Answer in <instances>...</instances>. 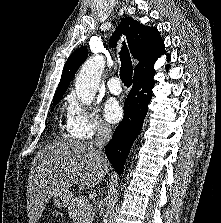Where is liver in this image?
Here are the masks:
<instances>
[{"mask_svg":"<svg viewBox=\"0 0 221 223\" xmlns=\"http://www.w3.org/2000/svg\"><path fill=\"white\" fill-rule=\"evenodd\" d=\"M109 170L106 157L90 142L56 140L47 144L34 157L29 173V223H38L47 201L55 194L75 184L81 190L92 188Z\"/></svg>","mask_w":221,"mask_h":223,"instance_id":"6515ba94","label":"liver"}]
</instances>
